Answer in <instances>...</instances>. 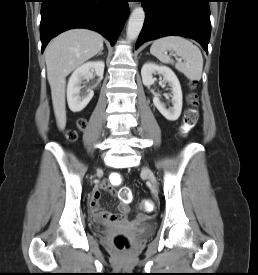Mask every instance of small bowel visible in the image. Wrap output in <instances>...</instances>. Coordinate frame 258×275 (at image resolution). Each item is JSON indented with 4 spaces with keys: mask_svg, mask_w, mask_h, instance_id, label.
I'll use <instances>...</instances> for the list:
<instances>
[{
    "mask_svg": "<svg viewBox=\"0 0 258 275\" xmlns=\"http://www.w3.org/2000/svg\"><path fill=\"white\" fill-rule=\"evenodd\" d=\"M110 187L111 185L106 181H103L98 185V187L96 188V190L93 192L91 196V199L89 202V209L91 213L97 217H103L106 220H115L119 216L128 213L129 207L126 201L121 200L119 204V213H112V212L100 209L99 198H100L101 191L105 189H109Z\"/></svg>",
    "mask_w": 258,
    "mask_h": 275,
    "instance_id": "obj_1",
    "label": "small bowel"
}]
</instances>
